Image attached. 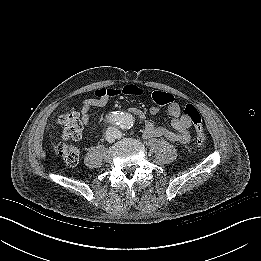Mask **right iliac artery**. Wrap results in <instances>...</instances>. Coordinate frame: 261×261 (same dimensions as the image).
<instances>
[{"label":"right iliac artery","mask_w":261,"mask_h":261,"mask_svg":"<svg viewBox=\"0 0 261 261\" xmlns=\"http://www.w3.org/2000/svg\"><path fill=\"white\" fill-rule=\"evenodd\" d=\"M121 114L119 111L117 112H111L109 116H107V121L112 123V124H119L120 123V117Z\"/></svg>","instance_id":"1"}]
</instances>
